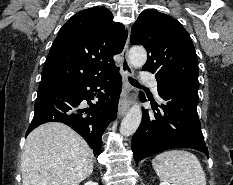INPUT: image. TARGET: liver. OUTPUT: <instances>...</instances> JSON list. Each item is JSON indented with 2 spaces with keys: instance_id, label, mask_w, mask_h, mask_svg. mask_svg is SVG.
Here are the masks:
<instances>
[{
  "instance_id": "1",
  "label": "liver",
  "mask_w": 233,
  "mask_h": 185,
  "mask_svg": "<svg viewBox=\"0 0 233 185\" xmlns=\"http://www.w3.org/2000/svg\"><path fill=\"white\" fill-rule=\"evenodd\" d=\"M86 141L65 124L49 122L26 138L21 155L22 185H79L93 172Z\"/></svg>"
}]
</instances>
